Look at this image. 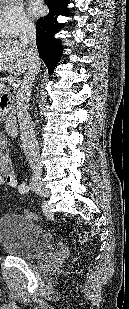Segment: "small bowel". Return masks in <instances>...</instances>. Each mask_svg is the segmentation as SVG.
Returning <instances> with one entry per match:
<instances>
[{
	"label": "small bowel",
	"instance_id": "small-bowel-1",
	"mask_svg": "<svg viewBox=\"0 0 129 309\" xmlns=\"http://www.w3.org/2000/svg\"><path fill=\"white\" fill-rule=\"evenodd\" d=\"M5 143L4 137L0 134V187H16L17 176L10 167L9 156L3 152Z\"/></svg>",
	"mask_w": 129,
	"mask_h": 309
}]
</instances>
